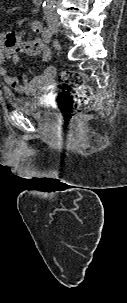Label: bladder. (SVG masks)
I'll return each mask as SVG.
<instances>
[{"label": "bladder", "instance_id": "1", "mask_svg": "<svg viewBox=\"0 0 127 303\" xmlns=\"http://www.w3.org/2000/svg\"><path fill=\"white\" fill-rule=\"evenodd\" d=\"M6 99L12 109L23 111L32 117L43 118L48 114L44 101L36 94L8 95Z\"/></svg>", "mask_w": 127, "mask_h": 303}]
</instances>
